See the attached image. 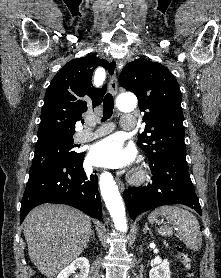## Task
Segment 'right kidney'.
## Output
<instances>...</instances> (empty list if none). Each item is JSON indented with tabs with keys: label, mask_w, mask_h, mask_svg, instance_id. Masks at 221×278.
I'll list each match as a JSON object with an SVG mask.
<instances>
[{
	"label": "right kidney",
	"mask_w": 221,
	"mask_h": 278,
	"mask_svg": "<svg viewBox=\"0 0 221 278\" xmlns=\"http://www.w3.org/2000/svg\"><path fill=\"white\" fill-rule=\"evenodd\" d=\"M90 264L87 258L80 257L74 260L70 265L65 267L57 276V278H69L72 273L79 269V273L75 275L76 278H87Z\"/></svg>",
	"instance_id": "obj_1"
}]
</instances>
